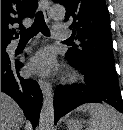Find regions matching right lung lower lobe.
<instances>
[{
    "mask_svg": "<svg viewBox=\"0 0 123 130\" xmlns=\"http://www.w3.org/2000/svg\"><path fill=\"white\" fill-rule=\"evenodd\" d=\"M23 64L1 53V91L12 97L23 109L25 116L36 127L42 106V92L37 81L24 79L19 74Z\"/></svg>",
    "mask_w": 123,
    "mask_h": 130,
    "instance_id": "98d812e1",
    "label": "right lung lower lobe"
}]
</instances>
